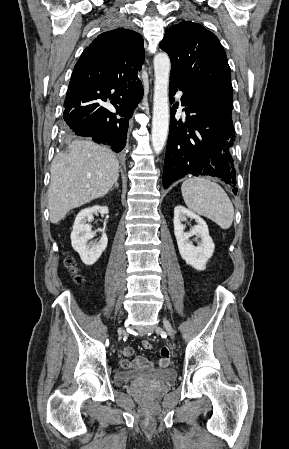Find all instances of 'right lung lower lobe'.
I'll return each instance as SVG.
<instances>
[{
    "label": "right lung lower lobe",
    "instance_id": "98d812e1",
    "mask_svg": "<svg viewBox=\"0 0 289 449\" xmlns=\"http://www.w3.org/2000/svg\"><path fill=\"white\" fill-rule=\"evenodd\" d=\"M143 97L138 77L117 83L72 77L65 99L63 130L68 136L91 137L120 152L126 144L128 119ZM112 104L116 113L109 109ZM116 114L122 116L117 118Z\"/></svg>",
    "mask_w": 289,
    "mask_h": 449
}]
</instances>
